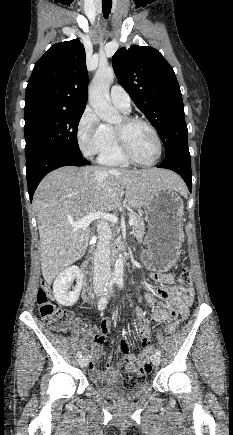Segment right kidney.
<instances>
[{"mask_svg":"<svg viewBox=\"0 0 233 435\" xmlns=\"http://www.w3.org/2000/svg\"><path fill=\"white\" fill-rule=\"evenodd\" d=\"M76 279V285L72 291L70 282ZM83 286V274L77 266H71L62 271L54 280L53 293L56 301L62 306H72L79 298Z\"/></svg>","mask_w":233,"mask_h":435,"instance_id":"obj_1","label":"right kidney"}]
</instances>
